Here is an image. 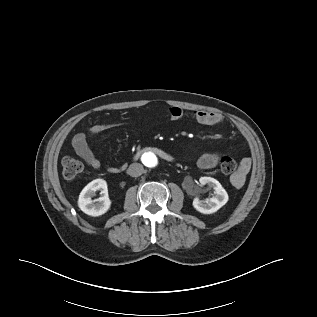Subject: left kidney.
<instances>
[{"label": "left kidney", "instance_id": "left-kidney-1", "mask_svg": "<svg viewBox=\"0 0 317 317\" xmlns=\"http://www.w3.org/2000/svg\"><path fill=\"white\" fill-rule=\"evenodd\" d=\"M200 186L207 185L210 189L214 190L215 196L201 200L199 197H195L193 200V207L200 213L212 214L218 211L222 206L228 202V194L222 185L216 179L212 177H201L199 179Z\"/></svg>", "mask_w": 317, "mask_h": 317}]
</instances>
